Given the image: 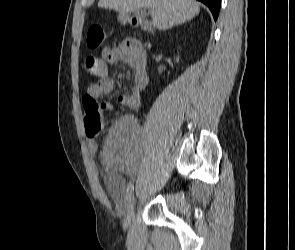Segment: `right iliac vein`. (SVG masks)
Masks as SVG:
<instances>
[{"label":"right iliac vein","mask_w":295,"mask_h":250,"mask_svg":"<svg viewBox=\"0 0 295 250\" xmlns=\"http://www.w3.org/2000/svg\"><path fill=\"white\" fill-rule=\"evenodd\" d=\"M135 203H136V197L134 196V194H131L130 197L128 198V202L126 206V215H125V218L123 219L124 231H126L130 225L133 207Z\"/></svg>","instance_id":"1"}]
</instances>
